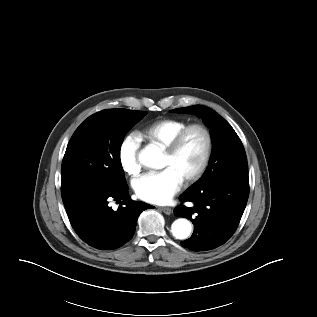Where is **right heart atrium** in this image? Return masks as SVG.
<instances>
[{"label": "right heart atrium", "mask_w": 317, "mask_h": 317, "mask_svg": "<svg viewBox=\"0 0 317 317\" xmlns=\"http://www.w3.org/2000/svg\"><path fill=\"white\" fill-rule=\"evenodd\" d=\"M139 150L140 141L134 134L127 135L119 146L118 161L127 175L135 176L141 170Z\"/></svg>", "instance_id": "d8ad5b80"}]
</instances>
